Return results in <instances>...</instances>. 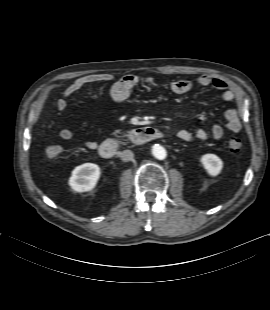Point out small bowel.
<instances>
[{"label": "small bowel", "mask_w": 270, "mask_h": 310, "mask_svg": "<svg viewBox=\"0 0 270 310\" xmlns=\"http://www.w3.org/2000/svg\"><path fill=\"white\" fill-rule=\"evenodd\" d=\"M114 76L108 73H94L88 74L82 77L75 79L63 92L61 98L56 102V108L58 111H63L68 106V100L83 87L112 81ZM147 83H153V80L150 78L145 79ZM139 83V78L135 75H126L114 82L110 90V96L112 100L116 103L124 102L130 95L132 89ZM201 87L213 86L215 89L222 92L221 98L225 102L234 100L237 97V92L234 89L229 88L228 84L217 77H212L207 74H203L196 79L195 82ZM194 82L187 79H181L174 81L170 84V90L175 94H185L192 90ZM224 117L226 120V126L231 132L237 133L242 129V123L238 114V111L235 108H228ZM59 136L63 140H71L73 138V132L69 128L59 127L58 129ZM211 136L220 140L224 136V127L221 124H214L211 128ZM178 138L183 141H192L199 140L204 141L208 138V132L205 129L198 128L194 131L180 130L177 134ZM83 144L88 149H95L97 143L92 140H85Z\"/></svg>", "instance_id": "small-bowel-1"}]
</instances>
